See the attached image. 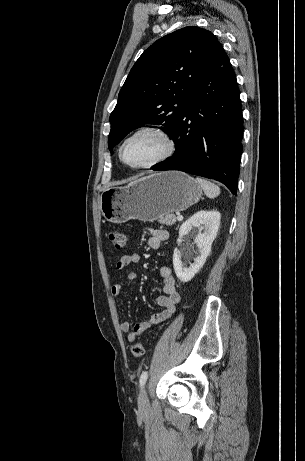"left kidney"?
<instances>
[{
  "instance_id": "1",
  "label": "left kidney",
  "mask_w": 305,
  "mask_h": 461,
  "mask_svg": "<svg viewBox=\"0 0 305 461\" xmlns=\"http://www.w3.org/2000/svg\"><path fill=\"white\" fill-rule=\"evenodd\" d=\"M220 218L221 215L218 211L201 210L181 225L177 248L173 254V266L177 278L182 282L190 281L205 264L211 252V245L217 236ZM190 232L195 233L198 255L189 267H184L181 258L184 254L190 253V249L182 247V238Z\"/></svg>"
}]
</instances>
